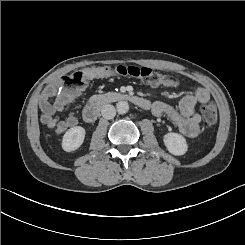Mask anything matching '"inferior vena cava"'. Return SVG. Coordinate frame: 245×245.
Returning <instances> with one entry per match:
<instances>
[{
	"label": "inferior vena cava",
	"instance_id": "obj_1",
	"mask_svg": "<svg viewBox=\"0 0 245 245\" xmlns=\"http://www.w3.org/2000/svg\"><path fill=\"white\" fill-rule=\"evenodd\" d=\"M101 113L105 119H112L116 115V110L114 106L107 104L102 108Z\"/></svg>",
	"mask_w": 245,
	"mask_h": 245
}]
</instances>
